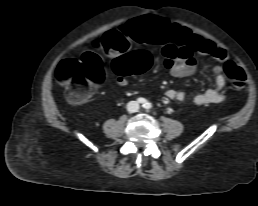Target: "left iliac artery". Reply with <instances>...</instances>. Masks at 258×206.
I'll use <instances>...</instances> for the list:
<instances>
[{"instance_id": "44dca946", "label": "left iliac artery", "mask_w": 258, "mask_h": 206, "mask_svg": "<svg viewBox=\"0 0 258 206\" xmlns=\"http://www.w3.org/2000/svg\"><path fill=\"white\" fill-rule=\"evenodd\" d=\"M144 106V108H146V109H149V108H151V104L150 103H146L145 105H143Z\"/></svg>"}]
</instances>
